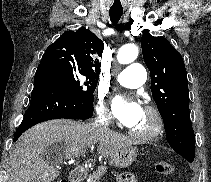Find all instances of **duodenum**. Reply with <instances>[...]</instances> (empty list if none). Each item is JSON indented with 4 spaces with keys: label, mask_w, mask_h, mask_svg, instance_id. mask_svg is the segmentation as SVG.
<instances>
[{
    "label": "duodenum",
    "mask_w": 211,
    "mask_h": 182,
    "mask_svg": "<svg viewBox=\"0 0 211 182\" xmlns=\"http://www.w3.org/2000/svg\"><path fill=\"white\" fill-rule=\"evenodd\" d=\"M84 169L76 168L70 174V182H82L84 178Z\"/></svg>",
    "instance_id": "1"
}]
</instances>
